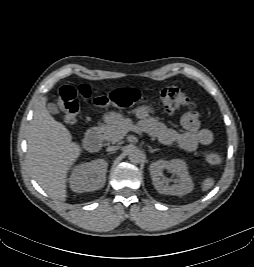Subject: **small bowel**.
Returning a JSON list of instances; mask_svg holds the SVG:
<instances>
[{"label": "small bowel", "mask_w": 254, "mask_h": 267, "mask_svg": "<svg viewBox=\"0 0 254 267\" xmlns=\"http://www.w3.org/2000/svg\"><path fill=\"white\" fill-rule=\"evenodd\" d=\"M137 116L149 134L163 144L177 143L182 149L193 152L198 146L209 145L213 141V133L209 129L200 127L197 112H187L182 116L181 125L184 131L168 128L152 118L145 108L139 109Z\"/></svg>", "instance_id": "obj_1"}]
</instances>
